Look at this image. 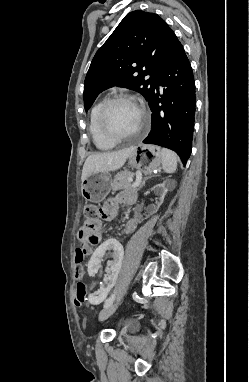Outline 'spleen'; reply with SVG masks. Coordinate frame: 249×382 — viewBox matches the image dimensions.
Here are the masks:
<instances>
[{"instance_id":"1","label":"spleen","mask_w":249,"mask_h":382,"mask_svg":"<svg viewBox=\"0 0 249 382\" xmlns=\"http://www.w3.org/2000/svg\"><path fill=\"white\" fill-rule=\"evenodd\" d=\"M162 156V168L166 173H174L177 169L178 157L175 152L162 148L160 149Z\"/></svg>"}]
</instances>
